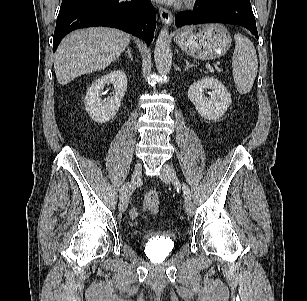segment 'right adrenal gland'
Here are the masks:
<instances>
[{
  "instance_id": "right-adrenal-gland-1",
  "label": "right adrenal gland",
  "mask_w": 307,
  "mask_h": 301,
  "mask_svg": "<svg viewBox=\"0 0 307 301\" xmlns=\"http://www.w3.org/2000/svg\"><path fill=\"white\" fill-rule=\"evenodd\" d=\"M126 54L128 55V57H129L130 59L133 60V56H132V54H131V49H130V47H128V49H127V51H126Z\"/></svg>"
}]
</instances>
